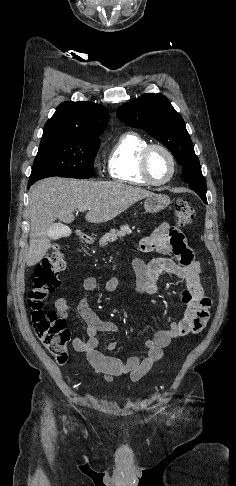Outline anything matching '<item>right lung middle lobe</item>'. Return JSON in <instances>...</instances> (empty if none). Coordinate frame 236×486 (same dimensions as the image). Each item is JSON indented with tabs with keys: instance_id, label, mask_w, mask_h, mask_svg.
Instances as JSON below:
<instances>
[{
	"instance_id": "right-lung-middle-lobe-1",
	"label": "right lung middle lobe",
	"mask_w": 236,
	"mask_h": 486,
	"mask_svg": "<svg viewBox=\"0 0 236 486\" xmlns=\"http://www.w3.org/2000/svg\"><path fill=\"white\" fill-rule=\"evenodd\" d=\"M99 145L97 138L43 133L29 182L50 176L90 178Z\"/></svg>"
}]
</instances>
